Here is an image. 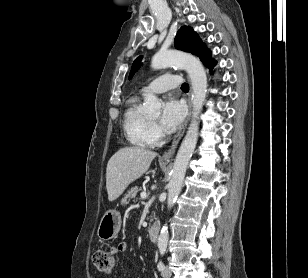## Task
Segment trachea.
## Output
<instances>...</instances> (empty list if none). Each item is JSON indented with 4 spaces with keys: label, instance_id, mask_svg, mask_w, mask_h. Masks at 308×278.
Masks as SVG:
<instances>
[{
    "label": "trachea",
    "instance_id": "trachea-1",
    "mask_svg": "<svg viewBox=\"0 0 308 278\" xmlns=\"http://www.w3.org/2000/svg\"><path fill=\"white\" fill-rule=\"evenodd\" d=\"M181 89L183 91H188L189 90V85L187 83H183L182 86H181Z\"/></svg>",
    "mask_w": 308,
    "mask_h": 278
}]
</instances>
